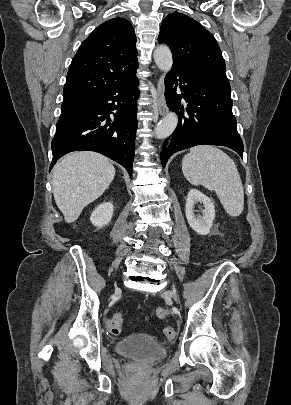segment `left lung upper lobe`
I'll return each mask as SVG.
<instances>
[{"mask_svg": "<svg viewBox=\"0 0 291 405\" xmlns=\"http://www.w3.org/2000/svg\"><path fill=\"white\" fill-rule=\"evenodd\" d=\"M173 55V66L226 76L225 62L214 36L189 16L173 12L162 22L158 36Z\"/></svg>", "mask_w": 291, "mask_h": 405, "instance_id": "5c2ea615", "label": "left lung upper lobe"}]
</instances>
